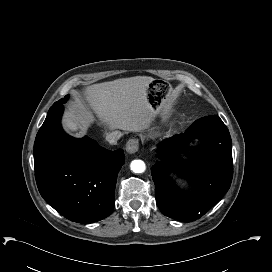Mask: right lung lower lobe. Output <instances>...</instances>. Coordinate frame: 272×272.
<instances>
[{"label":"right lung lower lobe","instance_id":"98d812e1","mask_svg":"<svg viewBox=\"0 0 272 272\" xmlns=\"http://www.w3.org/2000/svg\"><path fill=\"white\" fill-rule=\"evenodd\" d=\"M63 103L53 104L37 133L34 166L42 197L67 219L92 223L109 216L115 204L122 149L109 151L94 140L76 139L61 126Z\"/></svg>","mask_w":272,"mask_h":272}]
</instances>
